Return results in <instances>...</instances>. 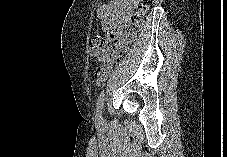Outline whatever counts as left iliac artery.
I'll list each match as a JSON object with an SVG mask.
<instances>
[{
	"mask_svg": "<svg viewBox=\"0 0 227 157\" xmlns=\"http://www.w3.org/2000/svg\"><path fill=\"white\" fill-rule=\"evenodd\" d=\"M104 99H105V93L101 92L100 96L98 97L97 104H96V112H97L98 119L101 118Z\"/></svg>",
	"mask_w": 227,
	"mask_h": 157,
	"instance_id": "44dca946",
	"label": "left iliac artery"
}]
</instances>
